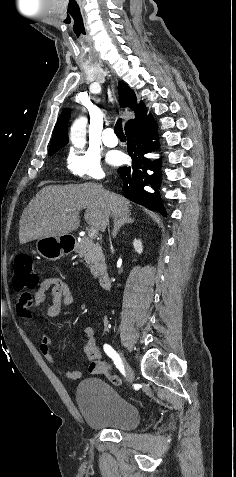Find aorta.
<instances>
[{"instance_id": "obj_1", "label": "aorta", "mask_w": 236, "mask_h": 477, "mask_svg": "<svg viewBox=\"0 0 236 477\" xmlns=\"http://www.w3.org/2000/svg\"><path fill=\"white\" fill-rule=\"evenodd\" d=\"M86 125L87 120L85 118L77 119L70 132V140L75 146H83L86 140Z\"/></svg>"}]
</instances>
